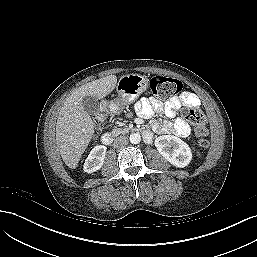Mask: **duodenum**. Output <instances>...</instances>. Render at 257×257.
<instances>
[{
	"label": "duodenum",
	"instance_id": "obj_1",
	"mask_svg": "<svg viewBox=\"0 0 257 257\" xmlns=\"http://www.w3.org/2000/svg\"><path fill=\"white\" fill-rule=\"evenodd\" d=\"M143 137L145 140L149 141L151 138V134L149 131H143L142 132ZM113 142V137L110 133L106 132L101 136V143L105 146L111 145Z\"/></svg>",
	"mask_w": 257,
	"mask_h": 257
}]
</instances>
